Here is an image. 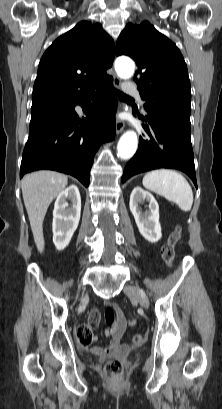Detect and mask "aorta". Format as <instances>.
<instances>
[{
    "instance_id": "1",
    "label": "aorta",
    "mask_w": 222,
    "mask_h": 409,
    "mask_svg": "<svg viewBox=\"0 0 222 409\" xmlns=\"http://www.w3.org/2000/svg\"><path fill=\"white\" fill-rule=\"evenodd\" d=\"M115 70L120 78L128 79L132 77L135 70L134 62L126 57H119L115 61ZM138 147L137 134L134 131H126L120 138L117 145L118 157L128 160L133 157Z\"/></svg>"
}]
</instances>
